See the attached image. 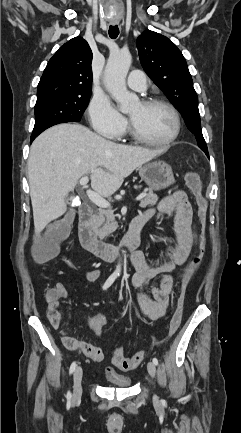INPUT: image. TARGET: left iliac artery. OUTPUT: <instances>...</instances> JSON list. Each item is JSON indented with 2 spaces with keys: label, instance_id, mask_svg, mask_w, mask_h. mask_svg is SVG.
<instances>
[{
  "label": "left iliac artery",
  "instance_id": "44dca946",
  "mask_svg": "<svg viewBox=\"0 0 241 433\" xmlns=\"http://www.w3.org/2000/svg\"><path fill=\"white\" fill-rule=\"evenodd\" d=\"M153 363H154L155 365H158V360H157V358H153Z\"/></svg>",
  "mask_w": 241,
  "mask_h": 433
}]
</instances>
